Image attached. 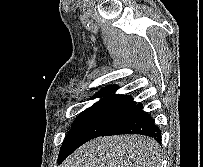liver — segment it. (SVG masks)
<instances>
[{
  "mask_svg": "<svg viewBox=\"0 0 203 167\" xmlns=\"http://www.w3.org/2000/svg\"><path fill=\"white\" fill-rule=\"evenodd\" d=\"M160 148L141 135L100 137L81 146L61 167H160Z\"/></svg>",
  "mask_w": 203,
  "mask_h": 167,
  "instance_id": "liver-1",
  "label": "liver"
}]
</instances>
